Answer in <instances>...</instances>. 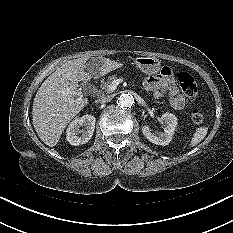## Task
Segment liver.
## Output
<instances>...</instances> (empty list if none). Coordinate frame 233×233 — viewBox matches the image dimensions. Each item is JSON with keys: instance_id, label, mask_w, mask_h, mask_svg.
Returning a JSON list of instances; mask_svg holds the SVG:
<instances>
[{"instance_id": "obj_1", "label": "liver", "mask_w": 233, "mask_h": 233, "mask_svg": "<svg viewBox=\"0 0 233 233\" xmlns=\"http://www.w3.org/2000/svg\"><path fill=\"white\" fill-rule=\"evenodd\" d=\"M89 56L69 60L52 73L38 89L32 109V120L39 138L49 147H54L68 123L88 104L79 96L78 82L98 78L123 66L122 63L100 57L85 72Z\"/></svg>"}]
</instances>
